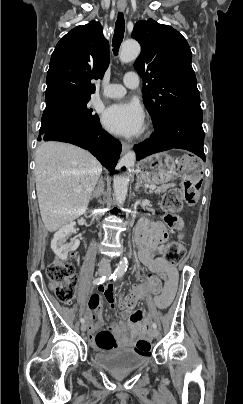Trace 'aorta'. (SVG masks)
<instances>
[{"instance_id":"762f6f07","label":"aorta","mask_w":243,"mask_h":404,"mask_svg":"<svg viewBox=\"0 0 243 404\" xmlns=\"http://www.w3.org/2000/svg\"><path fill=\"white\" fill-rule=\"evenodd\" d=\"M141 52L140 44L135 42V40H126L123 42L121 46V50L119 52V60L123 62V64H128V62H132V60H136ZM136 162V154L135 152H128L125 154L120 161L117 162V166L115 167V176H114V196L116 202L118 204H123L126 200L128 183L130 182V171L134 168V164ZM127 262L123 260L120 262L117 272H124L126 270Z\"/></svg>"}]
</instances>
